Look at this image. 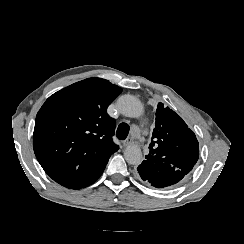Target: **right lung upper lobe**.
Returning <instances> with one entry per match:
<instances>
[{
	"label": "right lung upper lobe",
	"mask_w": 244,
	"mask_h": 244,
	"mask_svg": "<svg viewBox=\"0 0 244 244\" xmlns=\"http://www.w3.org/2000/svg\"><path fill=\"white\" fill-rule=\"evenodd\" d=\"M120 92L105 79L88 78L46 100L36 116L33 147L53 180L86 179L119 149L112 141L114 120L106 111Z\"/></svg>",
	"instance_id": "obj_1"
}]
</instances>
